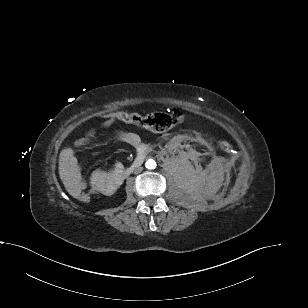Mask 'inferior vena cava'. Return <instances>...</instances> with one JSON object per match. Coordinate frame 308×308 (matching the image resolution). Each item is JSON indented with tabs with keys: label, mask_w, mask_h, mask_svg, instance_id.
I'll return each instance as SVG.
<instances>
[{
	"label": "inferior vena cava",
	"mask_w": 308,
	"mask_h": 308,
	"mask_svg": "<svg viewBox=\"0 0 308 308\" xmlns=\"http://www.w3.org/2000/svg\"><path fill=\"white\" fill-rule=\"evenodd\" d=\"M142 171V168L141 167H138L135 169V173H140Z\"/></svg>",
	"instance_id": "602c4592"
}]
</instances>
